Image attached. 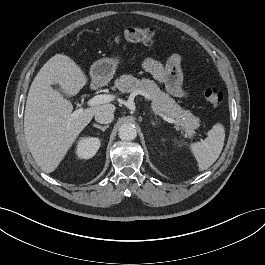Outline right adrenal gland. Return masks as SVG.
<instances>
[{"mask_svg":"<svg viewBox=\"0 0 265 265\" xmlns=\"http://www.w3.org/2000/svg\"><path fill=\"white\" fill-rule=\"evenodd\" d=\"M93 126L98 128V129H100L102 132H104L109 127V125L101 126V125H98V124H93Z\"/></svg>","mask_w":265,"mask_h":265,"instance_id":"obj_1","label":"right adrenal gland"}]
</instances>
